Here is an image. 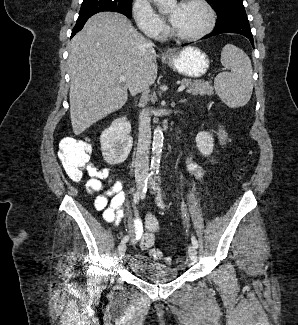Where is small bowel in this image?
<instances>
[{
    "mask_svg": "<svg viewBox=\"0 0 298 325\" xmlns=\"http://www.w3.org/2000/svg\"><path fill=\"white\" fill-rule=\"evenodd\" d=\"M217 135L220 144L225 145L228 136L222 126H219ZM188 170L198 179L203 177L201 168L192 161L188 162ZM88 174L89 177L85 183L87 192L90 195L102 192L94 196V208L102 213L103 219L107 223L118 225L125 215L124 203L126 201V192L123 182L115 180L112 171L105 167H95ZM128 228L134 237V242H138L143 235L141 220L139 218L132 219Z\"/></svg>",
    "mask_w": 298,
    "mask_h": 325,
    "instance_id": "c3829d8e",
    "label": "small bowel"
}]
</instances>
